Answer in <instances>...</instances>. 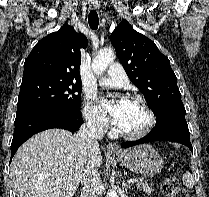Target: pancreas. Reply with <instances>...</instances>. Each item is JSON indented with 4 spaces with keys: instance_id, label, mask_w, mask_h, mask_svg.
<instances>
[{
    "instance_id": "1",
    "label": "pancreas",
    "mask_w": 209,
    "mask_h": 197,
    "mask_svg": "<svg viewBox=\"0 0 209 197\" xmlns=\"http://www.w3.org/2000/svg\"><path fill=\"white\" fill-rule=\"evenodd\" d=\"M136 187L148 195L153 192V186L149 185L147 182H144V180L142 179H138V181L136 182Z\"/></svg>"
}]
</instances>
